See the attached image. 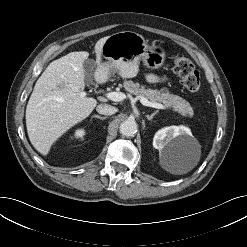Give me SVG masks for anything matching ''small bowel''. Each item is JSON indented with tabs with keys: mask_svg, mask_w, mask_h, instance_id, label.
Returning <instances> with one entry per match:
<instances>
[{
	"mask_svg": "<svg viewBox=\"0 0 247 247\" xmlns=\"http://www.w3.org/2000/svg\"><path fill=\"white\" fill-rule=\"evenodd\" d=\"M146 80L149 82V83H155L159 80L158 76L154 75V74H148L146 76Z\"/></svg>",
	"mask_w": 247,
	"mask_h": 247,
	"instance_id": "c3829d8e",
	"label": "small bowel"
}]
</instances>
